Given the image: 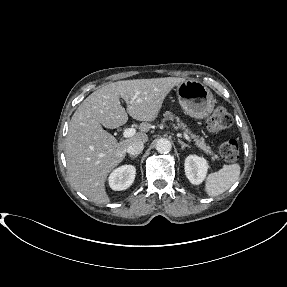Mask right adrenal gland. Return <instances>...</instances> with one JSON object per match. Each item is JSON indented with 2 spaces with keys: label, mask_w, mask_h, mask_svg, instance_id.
Returning <instances> with one entry per match:
<instances>
[{
  "label": "right adrenal gland",
  "mask_w": 287,
  "mask_h": 287,
  "mask_svg": "<svg viewBox=\"0 0 287 287\" xmlns=\"http://www.w3.org/2000/svg\"><path fill=\"white\" fill-rule=\"evenodd\" d=\"M129 157L132 159H135V158H137V155H135V156L130 155Z\"/></svg>",
  "instance_id": "1"
}]
</instances>
